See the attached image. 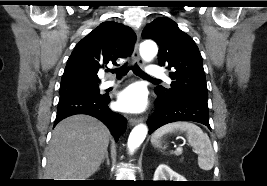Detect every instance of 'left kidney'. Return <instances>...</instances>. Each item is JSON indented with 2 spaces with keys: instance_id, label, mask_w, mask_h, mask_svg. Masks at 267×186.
Wrapping results in <instances>:
<instances>
[{
  "instance_id": "1",
  "label": "left kidney",
  "mask_w": 267,
  "mask_h": 186,
  "mask_svg": "<svg viewBox=\"0 0 267 186\" xmlns=\"http://www.w3.org/2000/svg\"><path fill=\"white\" fill-rule=\"evenodd\" d=\"M153 181H185V179L167 165L160 164L154 173Z\"/></svg>"
}]
</instances>
